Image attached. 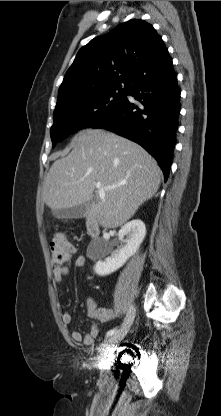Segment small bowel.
<instances>
[{
	"label": "small bowel",
	"instance_id": "obj_1",
	"mask_svg": "<svg viewBox=\"0 0 221 416\" xmlns=\"http://www.w3.org/2000/svg\"><path fill=\"white\" fill-rule=\"evenodd\" d=\"M85 258L82 255L73 257L72 264L76 268H80L84 265ZM68 274V267L66 265H57L53 268V277L55 282L60 285L64 277ZM87 314L91 318H95L100 322H109L116 318V312L111 308L98 307L92 300L87 302ZM61 320L64 325H68L71 320V314L69 312H63L61 314ZM99 336V328L97 325H92L90 330L86 334H82L79 331H72L71 338L74 342L81 343L84 346H92Z\"/></svg>",
	"mask_w": 221,
	"mask_h": 416
}]
</instances>
